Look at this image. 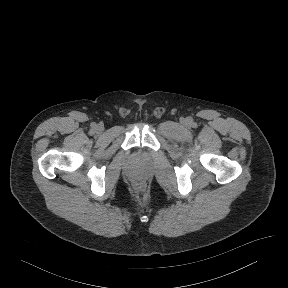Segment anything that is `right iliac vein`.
<instances>
[{"label":"right iliac vein","mask_w":288,"mask_h":288,"mask_svg":"<svg viewBox=\"0 0 288 288\" xmlns=\"http://www.w3.org/2000/svg\"><path fill=\"white\" fill-rule=\"evenodd\" d=\"M97 130H98V131H102V130H103V127H102V126H97Z\"/></svg>","instance_id":"right-iliac-vein-1"}]
</instances>
